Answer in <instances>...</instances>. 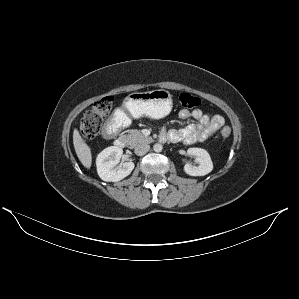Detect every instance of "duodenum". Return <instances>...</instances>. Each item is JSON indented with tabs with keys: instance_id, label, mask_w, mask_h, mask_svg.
<instances>
[{
	"instance_id": "1",
	"label": "duodenum",
	"mask_w": 299,
	"mask_h": 299,
	"mask_svg": "<svg viewBox=\"0 0 299 299\" xmlns=\"http://www.w3.org/2000/svg\"><path fill=\"white\" fill-rule=\"evenodd\" d=\"M117 130H118V123L115 122L114 120H110L104 127L103 135H104L105 138L110 139V138L114 137ZM166 139L167 138H166L165 135L161 136V140L164 141ZM115 145L117 147L124 148L127 145V139L123 136L117 137L115 139Z\"/></svg>"
}]
</instances>
